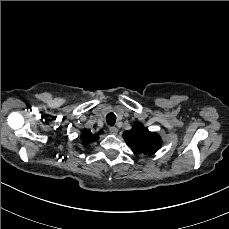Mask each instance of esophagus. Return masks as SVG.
Segmentation results:
<instances>
[{
  "label": "esophagus",
  "instance_id": "esophagus-1",
  "mask_svg": "<svg viewBox=\"0 0 229 229\" xmlns=\"http://www.w3.org/2000/svg\"><path fill=\"white\" fill-rule=\"evenodd\" d=\"M111 134L116 135L118 133V129L116 127L111 126L109 128Z\"/></svg>",
  "mask_w": 229,
  "mask_h": 229
}]
</instances>
